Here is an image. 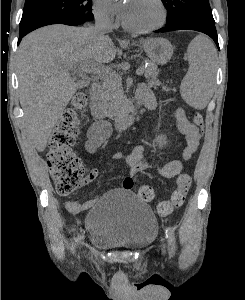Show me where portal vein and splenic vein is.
Instances as JSON below:
<instances>
[{
  "mask_svg": "<svg viewBox=\"0 0 245 300\" xmlns=\"http://www.w3.org/2000/svg\"><path fill=\"white\" fill-rule=\"evenodd\" d=\"M73 70H76V67L73 68ZM109 68L104 67L102 65L96 64V63H90L87 66L79 69L80 73H92V74H106L109 72ZM144 73L143 68H138L136 70V74L138 76H141Z\"/></svg>",
  "mask_w": 245,
  "mask_h": 300,
  "instance_id": "portal-vein-and-splenic-vein-1",
  "label": "portal vein and splenic vein"
}]
</instances>
